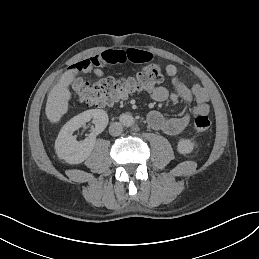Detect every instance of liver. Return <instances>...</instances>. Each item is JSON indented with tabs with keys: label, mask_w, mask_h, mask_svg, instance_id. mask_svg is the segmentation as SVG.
<instances>
[{
	"label": "liver",
	"mask_w": 259,
	"mask_h": 259,
	"mask_svg": "<svg viewBox=\"0 0 259 259\" xmlns=\"http://www.w3.org/2000/svg\"><path fill=\"white\" fill-rule=\"evenodd\" d=\"M77 73L78 70L76 69L64 72L59 82L50 91L45 109L46 116L50 122H59L60 118L67 112L68 100L71 98L68 86L72 83Z\"/></svg>",
	"instance_id": "1"
}]
</instances>
